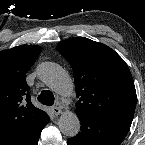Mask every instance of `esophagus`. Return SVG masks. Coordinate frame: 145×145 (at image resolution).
I'll return each mask as SVG.
<instances>
[{"label":"esophagus","mask_w":145,"mask_h":145,"mask_svg":"<svg viewBox=\"0 0 145 145\" xmlns=\"http://www.w3.org/2000/svg\"><path fill=\"white\" fill-rule=\"evenodd\" d=\"M52 112L54 115L58 116L59 114H61L62 110L60 107L54 106L52 107Z\"/></svg>","instance_id":"1"}]
</instances>
